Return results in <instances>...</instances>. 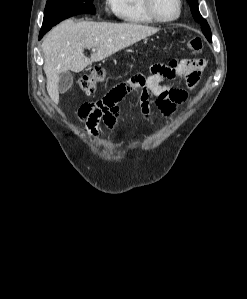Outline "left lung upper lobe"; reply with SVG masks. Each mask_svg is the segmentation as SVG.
<instances>
[{"label":"left lung upper lobe","mask_w":247,"mask_h":299,"mask_svg":"<svg viewBox=\"0 0 247 299\" xmlns=\"http://www.w3.org/2000/svg\"><path fill=\"white\" fill-rule=\"evenodd\" d=\"M187 1L191 7V12H192L194 19L197 22L201 23L202 32L204 33L207 40L209 42H212L210 27H209L207 21L204 18H202L201 14L199 12L198 0H187Z\"/></svg>","instance_id":"1"}]
</instances>
